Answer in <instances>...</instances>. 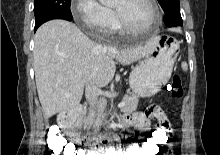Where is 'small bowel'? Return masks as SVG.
Here are the masks:
<instances>
[{
  "mask_svg": "<svg viewBox=\"0 0 220 155\" xmlns=\"http://www.w3.org/2000/svg\"><path fill=\"white\" fill-rule=\"evenodd\" d=\"M152 119H158L159 123H165V128L168 130V139H169V144H161V147L164 145L170 146L171 145V140L173 136L172 128L171 125L166 118L165 114L161 111L159 108V105H148L147 108V113H134V114H127L123 117V124L126 127H136L142 132H148V125H150V118ZM146 139V138H145ZM144 139V140H145ZM96 145H106L107 141L106 140H96L95 141ZM159 147V151L160 148ZM159 154V152H158ZM103 155H138L137 151H135V147H132L131 145L126 149V150H120L118 148H108L105 150Z\"/></svg>",
  "mask_w": 220,
  "mask_h": 155,
  "instance_id": "obj_1",
  "label": "small bowel"
}]
</instances>
